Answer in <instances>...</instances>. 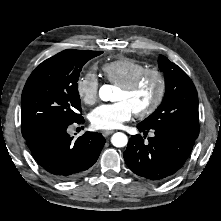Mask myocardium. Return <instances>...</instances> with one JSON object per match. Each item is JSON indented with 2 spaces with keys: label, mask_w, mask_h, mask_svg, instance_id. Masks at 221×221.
I'll use <instances>...</instances> for the list:
<instances>
[{
  "label": "myocardium",
  "mask_w": 221,
  "mask_h": 221,
  "mask_svg": "<svg viewBox=\"0 0 221 221\" xmlns=\"http://www.w3.org/2000/svg\"><path fill=\"white\" fill-rule=\"evenodd\" d=\"M148 76H154L156 78L158 84L157 92L150 105L142 110L135 112V115L138 117H147L153 114L162 104L167 90V81L164 73L158 68L147 67L141 70L127 82L119 85L120 89L131 91L138 87L141 82Z\"/></svg>",
  "instance_id": "1"
}]
</instances>
